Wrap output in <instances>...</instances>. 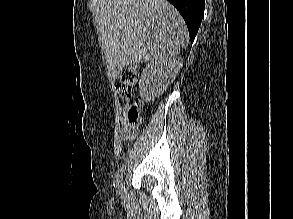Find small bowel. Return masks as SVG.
Here are the masks:
<instances>
[{"instance_id": "c3829d8e", "label": "small bowel", "mask_w": 293, "mask_h": 219, "mask_svg": "<svg viewBox=\"0 0 293 219\" xmlns=\"http://www.w3.org/2000/svg\"><path fill=\"white\" fill-rule=\"evenodd\" d=\"M135 130L129 125H124L121 129V138L124 142H128L135 137V133L131 134V131Z\"/></svg>"}]
</instances>
